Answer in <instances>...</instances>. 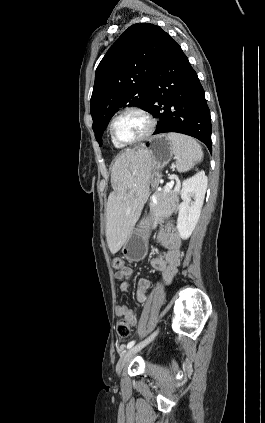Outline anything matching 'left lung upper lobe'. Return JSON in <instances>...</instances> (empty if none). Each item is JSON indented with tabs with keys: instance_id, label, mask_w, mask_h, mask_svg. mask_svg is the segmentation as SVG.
<instances>
[{
	"instance_id": "5c2ea615",
	"label": "left lung upper lobe",
	"mask_w": 265,
	"mask_h": 423,
	"mask_svg": "<svg viewBox=\"0 0 265 423\" xmlns=\"http://www.w3.org/2000/svg\"><path fill=\"white\" fill-rule=\"evenodd\" d=\"M167 33L159 26H130L110 47L95 73L90 100L93 131L99 145L114 113L123 106L150 105L149 89Z\"/></svg>"
}]
</instances>
